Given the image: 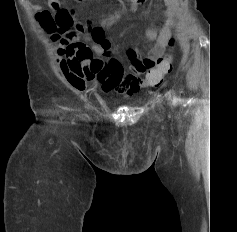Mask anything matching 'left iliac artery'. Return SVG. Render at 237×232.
Returning <instances> with one entry per match:
<instances>
[{
    "label": "left iliac artery",
    "mask_w": 237,
    "mask_h": 232,
    "mask_svg": "<svg viewBox=\"0 0 237 232\" xmlns=\"http://www.w3.org/2000/svg\"><path fill=\"white\" fill-rule=\"evenodd\" d=\"M178 102V98L176 96L173 97V104L176 105V103Z\"/></svg>",
    "instance_id": "44dca946"
}]
</instances>
